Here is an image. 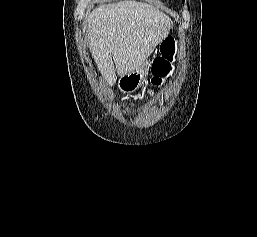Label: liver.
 Instances as JSON below:
<instances>
[{"label":"liver","mask_w":257,"mask_h":237,"mask_svg":"<svg viewBox=\"0 0 257 237\" xmlns=\"http://www.w3.org/2000/svg\"><path fill=\"white\" fill-rule=\"evenodd\" d=\"M172 25L162 11L133 0L104 4L92 11L87 19V38L107 84L116 83V71L123 76L139 69Z\"/></svg>","instance_id":"liver-1"}]
</instances>
